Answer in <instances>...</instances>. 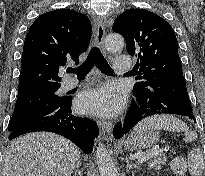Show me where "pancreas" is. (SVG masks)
Returning <instances> with one entry per match:
<instances>
[{
    "instance_id": "pancreas-1",
    "label": "pancreas",
    "mask_w": 205,
    "mask_h": 176,
    "mask_svg": "<svg viewBox=\"0 0 205 176\" xmlns=\"http://www.w3.org/2000/svg\"><path fill=\"white\" fill-rule=\"evenodd\" d=\"M166 163V157L157 155L150 159L148 162V166L150 169H155L159 171L161 169V166Z\"/></svg>"
}]
</instances>
